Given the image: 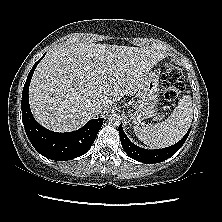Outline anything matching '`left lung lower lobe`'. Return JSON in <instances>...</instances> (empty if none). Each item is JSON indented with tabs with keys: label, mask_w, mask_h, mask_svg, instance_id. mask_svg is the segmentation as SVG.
<instances>
[{
	"label": "left lung lower lobe",
	"mask_w": 222,
	"mask_h": 222,
	"mask_svg": "<svg viewBox=\"0 0 222 222\" xmlns=\"http://www.w3.org/2000/svg\"><path fill=\"white\" fill-rule=\"evenodd\" d=\"M118 130L120 134L122 147L124 151L128 154V156H130L136 161L143 163H159L173 156L182 147L189 135L191 128L187 131L185 136L178 143L167 148L156 150L143 149L133 144L125 135L122 128V124L119 125Z\"/></svg>",
	"instance_id": "obj_1"
}]
</instances>
